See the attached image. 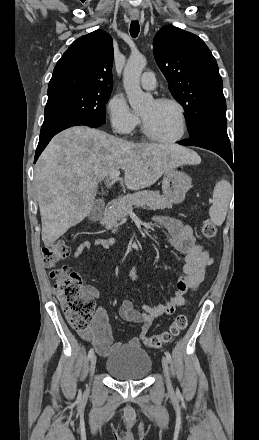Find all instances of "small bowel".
Returning a JSON list of instances; mask_svg holds the SVG:
<instances>
[{"label":"small bowel","mask_w":259,"mask_h":440,"mask_svg":"<svg viewBox=\"0 0 259 440\" xmlns=\"http://www.w3.org/2000/svg\"><path fill=\"white\" fill-rule=\"evenodd\" d=\"M155 222L166 229V242L183 256L181 272L177 276L176 290L166 302H158L155 305H143L136 309L131 300H124L119 309V316L127 322L141 324V332L138 336L130 339L129 344L139 347L146 336L154 320L162 315H171L175 309L185 303V294L193 293L198 289L204 279L205 269L212 264L213 260L208 251L197 242L192 228L188 224L164 216L155 217ZM115 242L114 238H96L93 243L84 241L79 244L74 253V258L85 254L92 246L108 248ZM139 265L134 266L129 277L133 281H139ZM97 295L96 290H90ZM79 335L86 341L92 343L99 355L105 356L119 347L120 343H113L110 325L107 315L102 307L95 313L93 323L84 330H78Z\"/></svg>","instance_id":"obj_1"}]
</instances>
